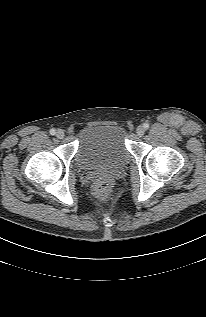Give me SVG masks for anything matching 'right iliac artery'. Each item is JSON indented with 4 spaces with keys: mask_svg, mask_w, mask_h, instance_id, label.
Listing matches in <instances>:
<instances>
[{
    "mask_svg": "<svg viewBox=\"0 0 206 317\" xmlns=\"http://www.w3.org/2000/svg\"><path fill=\"white\" fill-rule=\"evenodd\" d=\"M50 134H51V135H55V134H56V130H55V129H51V130H50Z\"/></svg>",
    "mask_w": 206,
    "mask_h": 317,
    "instance_id": "1",
    "label": "right iliac artery"
}]
</instances>
